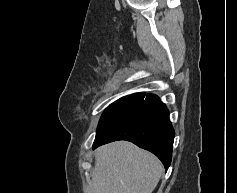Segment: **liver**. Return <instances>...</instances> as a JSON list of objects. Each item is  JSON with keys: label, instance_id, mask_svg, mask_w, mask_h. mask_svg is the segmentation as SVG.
Wrapping results in <instances>:
<instances>
[{"label": "liver", "instance_id": "6515ba94", "mask_svg": "<svg viewBox=\"0 0 237 193\" xmlns=\"http://www.w3.org/2000/svg\"><path fill=\"white\" fill-rule=\"evenodd\" d=\"M163 166L152 153L127 141L101 146L92 170L93 193H152Z\"/></svg>", "mask_w": 237, "mask_h": 193}]
</instances>
